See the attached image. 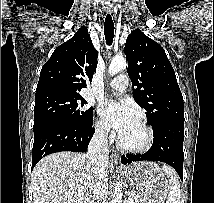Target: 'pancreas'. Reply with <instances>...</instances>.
<instances>
[{
	"label": "pancreas",
	"instance_id": "cf45deb5",
	"mask_svg": "<svg viewBox=\"0 0 214 203\" xmlns=\"http://www.w3.org/2000/svg\"><path fill=\"white\" fill-rule=\"evenodd\" d=\"M130 196L133 198L134 203H137V202L135 201V199H136V194H135L134 192H132Z\"/></svg>",
	"mask_w": 214,
	"mask_h": 203
}]
</instances>
